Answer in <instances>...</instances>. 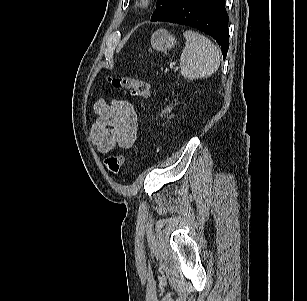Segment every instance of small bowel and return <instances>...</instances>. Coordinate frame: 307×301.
<instances>
[{
  "mask_svg": "<svg viewBox=\"0 0 307 301\" xmlns=\"http://www.w3.org/2000/svg\"><path fill=\"white\" fill-rule=\"evenodd\" d=\"M94 111L98 118L90 139L100 153L107 154L116 145L123 149L132 146L137 136L138 117L130 102L98 99Z\"/></svg>",
  "mask_w": 307,
  "mask_h": 301,
  "instance_id": "small-bowel-1",
  "label": "small bowel"
}]
</instances>
